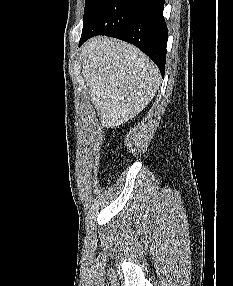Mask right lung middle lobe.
I'll use <instances>...</instances> for the list:
<instances>
[{"mask_svg": "<svg viewBox=\"0 0 233 286\" xmlns=\"http://www.w3.org/2000/svg\"><path fill=\"white\" fill-rule=\"evenodd\" d=\"M99 1L100 0H85L84 20L88 17Z\"/></svg>", "mask_w": 233, "mask_h": 286, "instance_id": "dd1d6c3e", "label": "right lung middle lobe"}]
</instances>
